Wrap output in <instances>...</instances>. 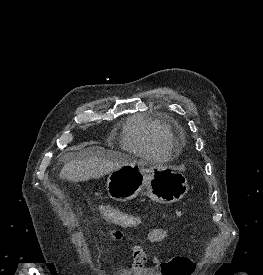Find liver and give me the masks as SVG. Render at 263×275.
<instances>
[{
	"mask_svg": "<svg viewBox=\"0 0 263 275\" xmlns=\"http://www.w3.org/2000/svg\"><path fill=\"white\" fill-rule=\"evenodd\" d=\"M128 160H131V158L122 153L100 152L94 155L92 150H88L80 154V157L65 163L60 172V178L72 182L97 179L111 173Z\"/></svg>",
	"mask_w": 263,
	"mask_h": 275,
	"instance_id": "liver-1",
	"label": "liver"
}]
</instances>
